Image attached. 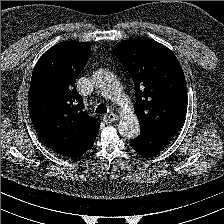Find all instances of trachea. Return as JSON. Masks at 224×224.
<instances>
[{
    "mask_svg": "<svg viewBox=\"0 0 224 224\" xmlns=\"http://www.w3.org/2000/svg\"><path fill=\"white\" fill-rule=\"evenodd\" d=\"M95 112L99 114H105L107 113V107L104 104H100L97 106Z\"/></svg>",
    "mask_w": 224,
    "mask_h": 224,
    "instance_id": "3493384b",
    "label": "trachea"
}]
</instances>
